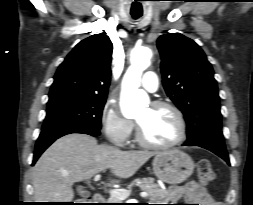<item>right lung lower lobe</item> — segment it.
Masks as SVG:
<instances>
[{"mask_svg": "<svg viewBox=\"0 0 253 205\" xmlns=\"http://www.w3.org/2000/svg\"><path fill=\"white\" fill-rule=\"evenodd\" d=\"M71 133H83V134H89L91 136H98L100 134L99 131H93V130H89L85 128H76V127L59 128V129L42 131L36 142L32 165L35 164V162L40 157V155L44 152V150L49 145H51L56 139H58L61 136H64L66 134H71Z\"/></svg>", "mask_w": 253, "mask_h": 205, "instance_id": "1", "label": "right lung lower lobe"}]
</instances>
